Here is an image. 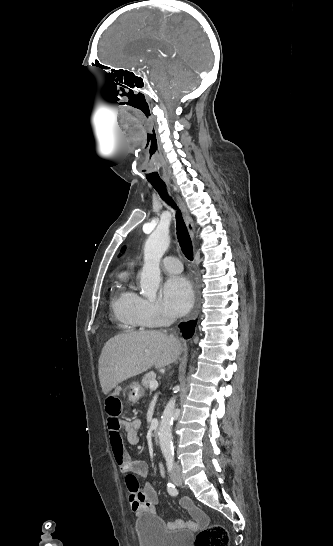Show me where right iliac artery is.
I'll return each instance as SVG.
<instances>
[{"instance_id":"right-iliac-artery-1","label":"right iliac artery","mask_w":333,"mask_h":546,"mask_svg":"<svg viewBox=\"0 0 333 546\" xmlns=\"http://www.w3.org/2000/svg\"><path fill=\"white\" fill-rule=\"evenodd\" d=\"M166 461H167L168 472L171 473L173 468V458L168 457ZM167 490H168V493L172 496H176L178 494V490L172 483H168Z\"/></svg>"}]
</instances>
